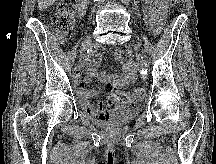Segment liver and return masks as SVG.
Returning <instances> with one entry per match:
<instances>
[{
    "label": "liver",
    "instance_id": "6515ba94",
    "mask_svg": "<svg viewBox=\"0 0 216 164\" xmlns=\"http://www.w3.org/2000/svg\"><path fill=\"white\" fill-rule=\"evenodd\" d=\"M56 0H38V8L40 11H43L53 5Z\"/></svg>",
    "mask_w": 216,
    "mask_h": 164
}]
</instances>
